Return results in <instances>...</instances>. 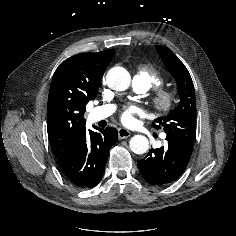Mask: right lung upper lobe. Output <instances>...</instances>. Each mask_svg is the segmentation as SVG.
Instances as JSON below:
<instances>
[{
  "instance_id": "obj_1",
  "label": "right lung upper lobe",
  "mask_w": 236,
  "mask_h": 236,
  "mask_svg": "<svg viewBox=\"0 0 236 236\" xmlns=\"http://www.w3.org/2000/svg\"><path fill=\"white\" fill-rule=\"evenodd\" d=\"M113 55L114 49L74 55L54 73L48 96L47 130L59 165L71 155L85 130L86 104L95 99Z\"/></svg>"
}]
</instances>
